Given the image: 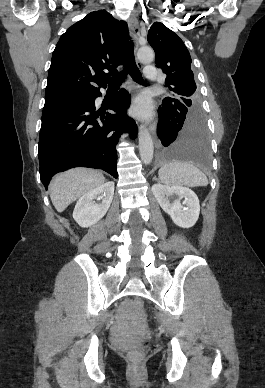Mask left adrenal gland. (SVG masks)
Returning <instances> with one entry per match:
<instances>
[{"label": "left adrenal gland", "instance_id": "obj_1", "mask_svg": "<svg viewBox=\"0 0 265 388\" xmlns=\"http://www.w3.org/2000/svg\"><path fill=\"white\" fill-rule=\"evenodd\" d=\"M153 180H156V182H159V180H157L156 176H155V178H153Z\"/></svg>", "mask_w": 265, "mask_h": 388}]
</instances>
